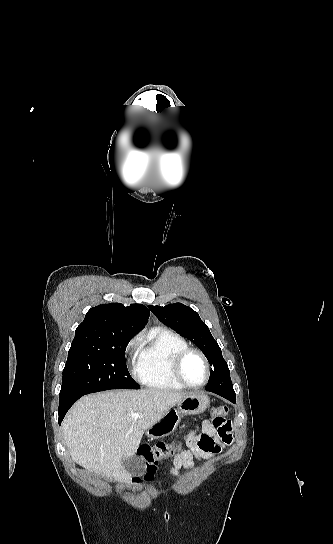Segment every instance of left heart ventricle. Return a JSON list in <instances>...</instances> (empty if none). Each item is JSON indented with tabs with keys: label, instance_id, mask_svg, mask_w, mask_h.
Returning <instances> with one entry per match:
<instances>
[{
	"label": "left heart ventricle",
	"instance_id": "left-heart-ventricle-1",
	"mask_svg": "<svg viewBox=\"0 0 333 544\" xmlns=\"http://www.w3.org/2000/svg\"><path fill=\"white\" fill-rule=\"evenodd\" d=\"M183 375L185 379L194 385H199L206 378V368L202 359L192 354L184 362Z\"/></svg>",
	"mask_w": 333,
	"mask_h": 544
}]
</instances>
